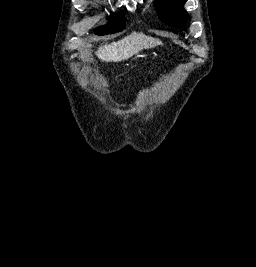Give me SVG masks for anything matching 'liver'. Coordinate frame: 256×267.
Wrapping results in <instances>:
<instances>
[{
    "mask_svg": "<svg viewBox=\"0 0 256 267\" xmlns=\"http://www.w3.org/2000/svg\"><path fill=\"white\" fill-rule=\"evenodd\" d=\"M153 46H162V42L156 38H149L145 34H140V32H131L129 36L119 40V42L100 46L95 54L102 62H122V60L132 58L141 50H148Z\"/></svg>",
    "mask_w": 256,
    "mask_h": 267,
    "instance_id": "1",
    "label": "liver"
}]
</instances>
